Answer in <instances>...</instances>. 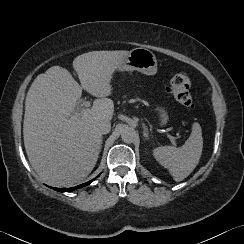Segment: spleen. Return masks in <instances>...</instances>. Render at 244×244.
<instances>
[{
    "label": "spleen",
    "instance_id": "obj_1",
    "mask_svg": "<svg viewBox=\"0 0 244 244\" xmlns=\"http://www.w3.org/2000/svg\"><path fill=\"white\" fill-rule=\"evenodd\" d=\"M203 149L202 130L194 122L192 132L181 147L161 146L153 149L154 158L167 168L175 181L186 178L197 166Z\"/></svg>",
    "mask_w": 244,
    "mask_h": 244
}]
</instances>
